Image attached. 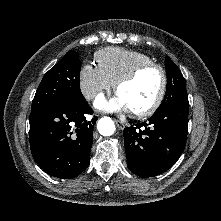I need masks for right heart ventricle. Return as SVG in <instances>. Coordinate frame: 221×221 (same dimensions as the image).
I'll list each match as a JSON object with an SVG mask.
<instances>
[{"instance_id":"obj_1","label":"right heart ventricle","mask_w":221,"mask_h":221,"mask_svg":"<svg viewBox=\"0 0 221 221\" xmlns=\"http://www.w3.org/2000/svg\"><path fill=\"white\" fill-rule=\"evenodd\" d=\"M95 59L97 67L114 84L136 66L153 62L145 53L113 47L98 51Z\"/></svg>"}]
</instances>
